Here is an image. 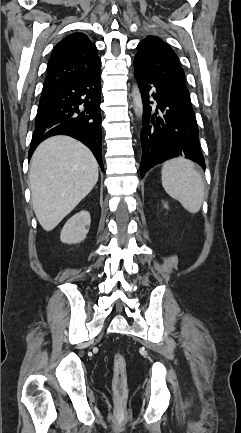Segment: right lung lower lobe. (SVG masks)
I'll return each mask as SVG.
<instances>
[{
    "label": "right lung lower lobe",
    "instance_id": "obj_1",
    "mask_svg": "<svg viewBox=\"0 0 241 433\" xmlns=\"http://www.w3.org/2000/svg\"><path fill=\"white\" fill-rule=\"evenodd\" d=\"M100 69L42 91L29 159L36 147L54 135L71 136L89 147L103 170Z\"/></svg>",
    "mask_w": 241,
    "mask_h": 433
}]
</instances>
